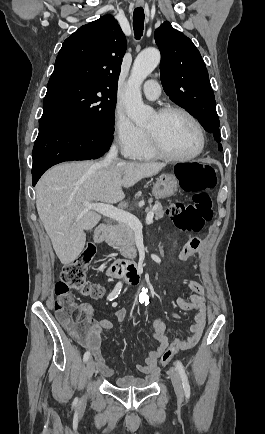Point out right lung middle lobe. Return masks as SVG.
Returning a JSON list of instances; mask_svg holds the SVG:
<instances>
[{"label": "right lung middle lobe", "mask_w": 265, "mask_h": 434, "mask_svg": "<svg viewBox=\"0 0 265 434\" xmlns=\"http://www.w3.org/2000/svg\"><path fill=\"white\" fill-rule=\"evenodd\" d=\"M116 93V86L97 78H50L43 113L53 112L85 129L112 134Z\"/></svg>", "instance_id": "right-lung-middle-lobe-1"}]
</instances>
